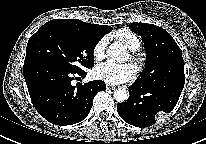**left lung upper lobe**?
<instances>
[{
  "instance_id": "left-lung-upper-lobe-1",
  "label": "left lung upper lobe",
  "mask_w": 206,
  "mask_h": 144,
  "mask_svg": "<svg viewBox=\"0 0 206 144\" xmlns=\"http://www.w3.org/2000/svg\"><path fill=\"white\" fill-rule=\"evenodd\" d=\"M129 28L142 37L147 53L146 65L135 81L152 86L184 75L182 51L163 28L147 23H131Z\"/></svg>"
}]
</instances>
